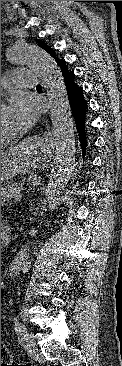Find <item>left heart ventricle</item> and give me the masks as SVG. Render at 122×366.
<instances>
[{
	"label": "left heart ventricle",
	"instance_id": "1",
	"mask_svg": "<svg viewBox=\"0 0 122 366\" xmlns=\"http://www.w3.org/2000/svg\"><path fill=\"white\" fill-rule=\"evenodd\" d=\"M15 132L16 128L7 114V107H1V134L11 135Z\"/></svg>",
	"mask_w": 122,
	"mask_h": 366
}]
</instances>
